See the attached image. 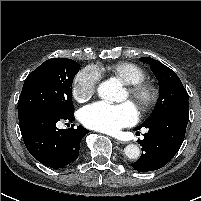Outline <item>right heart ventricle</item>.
<instances>
[{
    "label": "right heart ventricle",
    "mask_w": 201,
    "mask_h": 201,
    "mask_svg": "<svg viewBox=\"0 0 201 201\" xmlns=\"http://www.w3.org/2000/svg\"><path fill=\"white\" fill-rule=\"evenodd\" d=\"M99 73L108 72L119 78L124 84H132L143 81L146 78L145 71L138 65L131 62H118L104 68H96Z\"/></svg>",
    "instance_id": "e07e8e85"
}]
</instances>
